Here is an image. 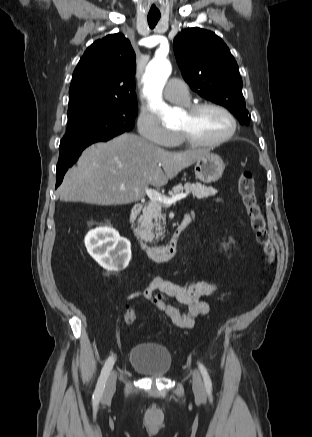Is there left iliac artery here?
Here are the masks:
<instances>
[{
  "instance_id": "1",
  "label": "left iliac artery",
  "mask_w": 312,
  "mask_h": 437,
  "mask_svg": "<svg viewBox=\"0 0 312 437\" xmlns=\"http://www.w3.org/2000/svg\"><path fill=\"white\" fill-rule=\"evenodd\" d=\"M198 366H199V370H200L202 377H203V380H204L206 391L210 395L212 392V382H211L210 376H209L205 366L202 363L199 362Z\"/></svg>"
}]
</instances>
